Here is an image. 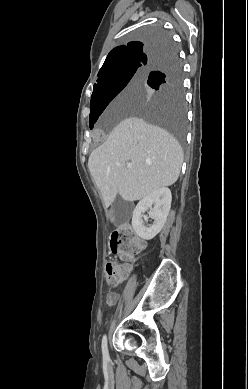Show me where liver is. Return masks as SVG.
<instances>
[{"label":"liver","instance_id":"1","mask_svg":"<svg viewBox=\"0 0 248 389\" xmlns=\"http://www.w3.org/2000/svg\"><path fill=\"white\" fill-rule=\"evenodd\" d=\"M132 101L133 85H130L116 104ZM128 163L132 168H127ZM182 163L183 151L174 136L141 118L129 117L90 154L88 168L108 208L118 194L133 202L173 185Z\"/></svg>","mask_w":248,"mask_h":389}]
</instances>
